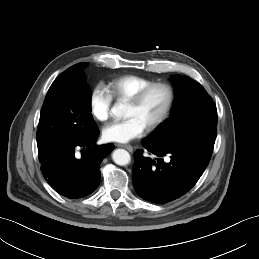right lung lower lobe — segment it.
<instances>
[{"mask_svg":"<svg viewBox=\"0 0 259 259\" xmlns=\"http://www.w3.org/2000/svg\"><path fill=\"white\" fill-rule=\"evenodd\" d=\"M98 135L97 127L75 144L38 154L45 180L62 196L82 198L98 187L101 180L100 164L114 149L113 144H95ZM79 148H82L83 154L78 158L75 151Z\"/></svg>","mask_w":259,"mask_h":259,"instance_id":"98d812e1","label":"right lung lower lobe"}]
</instances>
